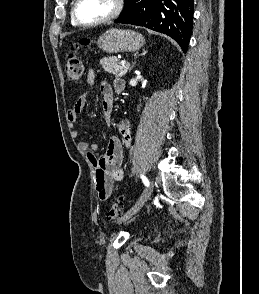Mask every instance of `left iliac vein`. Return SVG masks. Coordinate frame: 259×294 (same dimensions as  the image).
Instances as JSON below:
<instances>
[{
	"instance_id": "4c4485c4",
	"label": "left iliac vein",
	"mask_w": 259,
	"mask_h": 294,
	"mask_svg": "<svg viewBox=\"0 0 259 294\" xmlns=\"http://www.w3.org/2000/svg\"><path fill=\"white\" fill-rule=\"evenodd\" d=\"M153 187H154V182L153 180H150L149 186L144 190L138 202L118 220V224H121L122 222L129 220L133 215H135L142 208V206L151 196Z\"/></svg>"
}]
</instances>
